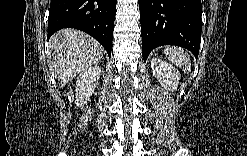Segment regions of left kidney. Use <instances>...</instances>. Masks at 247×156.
<instances>
[{
	"label": "left kidney",
	"instance_id": "left-kidney-1",
	"mask_svg": "<svg viewBox=\"0 0 247 156\" xmlns=\"http://www.w3.org/2000/svg\"><path fill=\"white\" fill-rule=\"evenodd\" d=\"M151 69L164 89L172 92L177 89L180 73L172 65L158 58L151 59Z\"/></svg>",
	"mask_w": 247,
	"mask_h": 156
}]
</instances>
